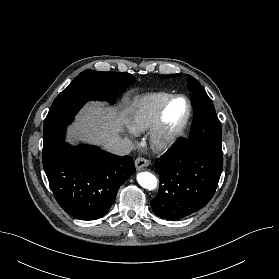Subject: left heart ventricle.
I'll list each match as a JSON object with an SVG mask.
<instances>
[{"label": "left heart ventricle", "mask_w": 279, "mask_h": 279, "mask_svg": "<svg viewBox=\"0 0 279 279\" xmlns=\"http://www.w3.org/2000/svg\"><path fill=\"white\" fill-rule=\"evenodd\" d=\"M187 112V105L183 99H176L170 103L165 112V126L168 130L179 126L184 120Z\"/></svg>", "instance_id": "obj_1"}]
</instances>
